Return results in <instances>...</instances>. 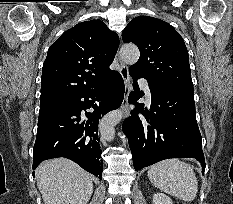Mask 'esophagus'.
Wrapping results in <instances>:
<instances>
[{
  "mask_svg": "<svg viewBox=\"0 0 233 204\" xmlns=\"http://www.w3.org/2000/svg\"><path fill=\"white\" fill-rule=\"evenodd\" d=\"M120 74L124 80L125 83V95L123 102L121 104V110L123 111L124 115L127 116L129 114V109H128V94L131 90V84H130V75H129V70L127 65H125L120 59Z\"/></svg>",
  "mask_w": 233,
  "mask_h": 204,
  "instance_id": "obj_1",
  "label": "esophagus"
}]
</instances>
